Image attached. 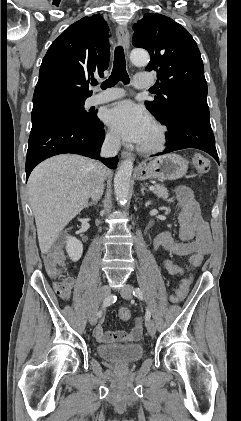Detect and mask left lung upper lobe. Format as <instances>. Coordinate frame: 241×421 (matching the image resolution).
Here are the masks:
<instances>
[{"instance_id":"1","label":"left lung upper lobe","mask_w":241,"mask_h":421,"mask_svg":"<svg viewBox=\"0 0 241 421\" xmlns=\"http://www.w3.org/2000/svg\"><path fill=\"white\" fill-rule=\"evenodd\" d=\"M133 30V45L150 53L146 70L156 71L160 88L154 100L145 104L172 132L179 117L193 106H208L200 51L183 26L161 14H145Z\"/></svg>"}]
</instances>
